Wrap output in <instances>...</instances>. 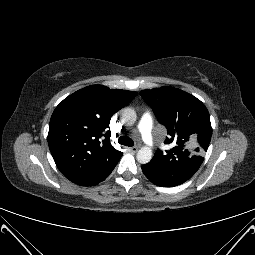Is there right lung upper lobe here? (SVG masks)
Segmentation results:
<instances>
[{"label": "right lung upper lobe", "instance_id": "obj_1", "mask_svg": "<svg viewBox=\"0 0 255 255\" xmlns=\"http://www.w3.org/2000/svg\"><path fill=\"white\" fill-rule=\"evenodd\" d=\"M135 96L134 91L92 85L56 107L48 144L57 167L70 181L93 186L112 172L122 152L110 143V119Z\"/></svg>", "mask_w": 255, "mask_h": 255}]
</instances>
